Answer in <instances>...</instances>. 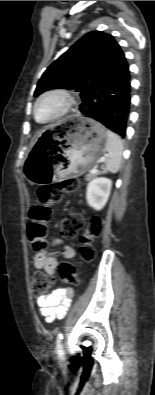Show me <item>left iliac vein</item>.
<instances>
[{
  "label": "left iliac vein",
  "instance_id": "1",
  "mask_svg": "<svg viewBox=\"0 0 155 395\" xmlns=\"http://www.w3.org/2000/svg\"><path fill=\"white\" fill-rule=\"evenodd\" d=\"M57 353H58V357H59L60 361H63V360H64V349H63V345H60V346H59V349H58Z\"/></svg>",
  "mask_w": 155,
  "mask_h": 395
}]
</instances>
